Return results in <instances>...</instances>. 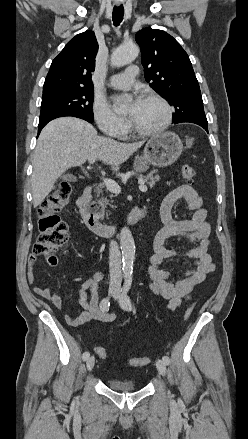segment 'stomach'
Returning a JSON list of instances; mask_svg holds the SVG:
<instances>
[{"mask_svg": "<svg viewBox=\"0 0 248 439\" xmlns=\"http://www.w3.org/2000/svg\"><path fill=\"white\" fill-rule=\"evenodd\" d=\"M183 144L178 135L165 132L153 136L146 143L143 151V160L154 166L166 167L173 164L180 157ZM136 169H139L136 166Z\"/></svg>", "mask_w": 248, "mask_h": 439, "instance_id": "1", "label": "stomach"}]
</instances>
